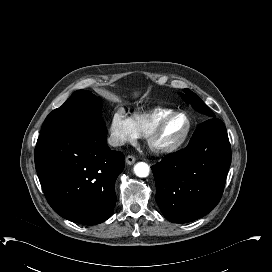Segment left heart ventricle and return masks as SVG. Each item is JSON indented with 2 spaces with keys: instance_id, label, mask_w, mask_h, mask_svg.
<instances>
[{
  "instance_id": "left-heart-ventricle-1",
  "label": "left heart ventricle",
  "mask_w": 272,
  "mask_h": 272,
  "mask_svg": "<svg viewBox=\"0 0 272 272\" xmlns=\"http://www.w3.org/2000/svg\"><path fill=\"white\" fill-rule=\"evenodd\" d=\"M187 128V120L183 116H177L169 121L164 131L156 139L159 146H169L182 138Z\"/></svg>"
}]
</instances>
